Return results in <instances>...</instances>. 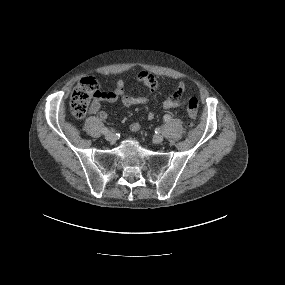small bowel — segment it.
<instances>
[{
	"instance_id": "small-bowel-1",
	"label": "small bowel",
	"mask_w": 285,
	"mask_h": 285,
	"mask_svg": "<svg viewBox=\"0 0 285 285\" xmlns=\"http://www.w3.org/2000/svg\"><path fill=\"white\" fill-rule=\"evenodd\" d=\"M139 82L145 86L151 92H155L158 88V83L153 75L142 72L138 76ZM185 83L180 81L174 89L169 93L167 99L162 103L164 110H170L173 108L181 107L186 103V99L183 97L185 92ZM120 101L121 105L125 108L145 104L148 102L147 96H136L126 92L125 81L120 79L115 84L114 88L107 92H100V94L93 100L90 113L100 121H104L107 118V113L101 109L102 102L114 103ZM155 113L150 111L147 113V119L153 120ZM132 131H138L140 129L139 123H132L130 125Z\"/></svg>"
}]
</instances>
